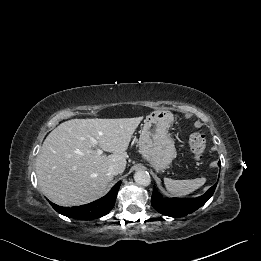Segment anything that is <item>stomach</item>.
<instances>
[{"label": "stomach", "mask_w": 261, "mask_h": 261, "mask_svg": "<svg viewBox=\"0 0 261 261\" xmlns=\"http://www.w3.org/2000/svg\"><path fill=\"white\" fill-rule=\"evenodd\" d=\"M173 114L167 110H156L144 120L139 138V149L144 159L157 171L164 170L176 156L168 127Z\"/></svg>", "instance_id": "obj_1"}]
</instances>
